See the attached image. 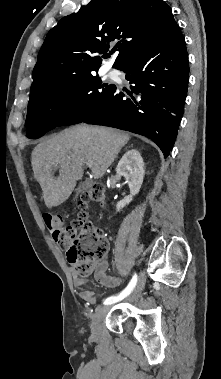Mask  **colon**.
I'll use <instances>...</instances> for the list:
<instances>
[{
  "instance_id": "5ec220e1",
  "label": "colon",
  "mask_w": 221,
  "mask_h": 379,
  "mask_svg": "<svg viewBox=\"0 0 221 379\" xmlns=\"http://www.w3.org/2000/svg\"><path fill=\"white\" fill-rule=\"evenodd\" d=\"M92 201L99 205L105 202V190L95 184L81 193L80 213L70 225L65 226L60 215L44 214V223L53 239L67 250V258L79 276L90 275L97 263L106 255L107 242L100 229L88 219L86 209Z\"/></svg>"
}]
</instances>
